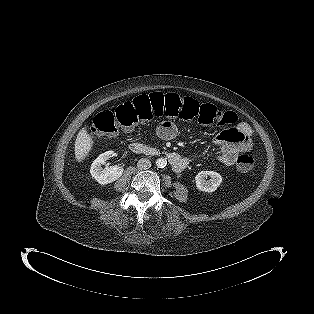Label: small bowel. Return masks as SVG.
I'll list each match as a JSON object with an SVG mask.
<instances>
[{
    "label": "small bowel",
    "mask_w": 314,
    "mask_h": 314,
    "mask_svg": "<svg viewBox=\"0 0 314 314\" xmlns=\"http://www.w3.org/2000/svg\"><path fill=\"white\" fill-rule=\"evenodd\" d=\"M225 113L228 114V117L224 125L234 124L236 122V115L231 111H226ZM156 133L162 140H171L177 136L178 128L173 121L164 120L158 125ZM251 134L252 130L250 126L244 122L221 131L214 140L218 148L217 160L227 166L233 165L240 154L251 150Z\"/></svg>",
    "instance_id": "small-bowel-1"
}]
</instances>
